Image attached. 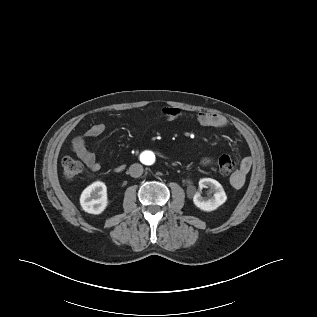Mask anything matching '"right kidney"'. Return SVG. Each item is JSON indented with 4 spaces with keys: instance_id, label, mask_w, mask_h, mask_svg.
I'll return each instance as SVG.
<instances>
[{
    "instance_id": "right-kidney-1",
    "label": "right kidney",
    "mask_w": 317,
    "mask_h": 317,
    "mask_svg": "<svg viewBox=\"0 0 317 317\" xmlns=\"http://www.w3.org/2000/svg\"><path fill=\"white\" fill-rule=\"evenodd\" d=\"M80 205L83 210L88 213H102L108 205L107 188L105 183L95 181L86 187L80 196Z\"/></svg>"
}]
</instances>
